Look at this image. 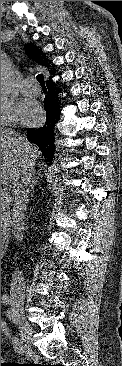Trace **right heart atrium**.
<instances>
[{"instance_id":"1","label":"right heart atrium","mask_w":122,"mask_h":366,"mask_svg":"<svg viewBox=\"0 0 122 366\" xmlns=\"http://www.w3.org/2000/svg\"><path fill=\"white\" fill-rule=\"evenodd\" d=\"M12 108L11 102L1 99V128L14 127V122H18L12 114Z\"/></svg>"}]
</instances>
